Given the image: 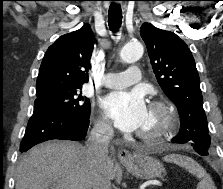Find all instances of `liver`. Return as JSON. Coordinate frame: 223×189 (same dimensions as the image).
I'll return each instance as SVG.
<instances>
[{
  "label": "liver",
  "instance_id": "1",
  "mask_svg": "<svg viewBox=\"0 0 223 189\" xmlns=\"http://www.w3.org/2000/svg\"><path fill=\"white\" fill-rule=\"evenodd\" d=\"M91 159L86 148L70 141H48L29 150L16 171L15 189H91ZM107 172L115 177L109 158Z\"/></svg>",
  "mask_w": 223,
  "mask_h": 189
}]
</instances>
